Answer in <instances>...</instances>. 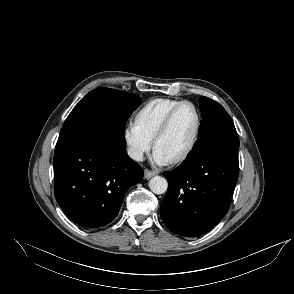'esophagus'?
Returning <instances> with one entry per match:
<instances>
[{
  "label": "esophagus",
  "mask_w": 294,
  "mask_h": 294,
  "mask_svg": "<svg viewBox=\"0 0 294 294\" xmlns=\"http://www.w3.org/2000/svg\"><path fill=\"white\" fill-rule=\"evenodd\" d=\"M154 175H156V172L151 171L149 169H144V178L145 179H150L151 177H153Z\"/></svg>",
  "instance_id": "34e87169"
}]
</instances>
